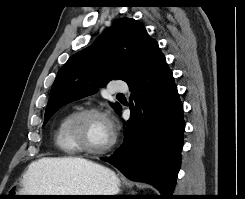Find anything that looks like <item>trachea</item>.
Segmentation results:
<instances>
[{
  "label": "trachea",
  "mask_w": 245,
  "mask_h": 199,
  "mask_svg": "<svg viewBox=\"0 0 245 199\" xmlns=\"http://www.w3.org/2000/svg\"><path fill=\"white\" fill-rule=\"evenodd\" d=\"M117 96H124V95L120 93V94H117Z\"/></svg>",
  "instance_id": "3493384b"
}]
</instances>
